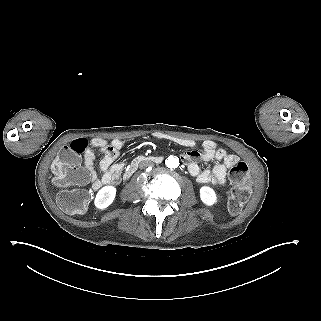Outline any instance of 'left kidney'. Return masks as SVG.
I'll list each match as a JSON object with an SVG mask.
<instances>
[{
  "label": "left kidney",
  "instance_id": "obj_1",
  "mask_svg": "<svg viewBox=\"0 0 321 321\" xmlns=\"http://www.w3.org/2000/svg\"><path fill=\"white\" fill-rule=\"evenodd\" d=\"M199 197L203 204L207 207H212L218 203V196L213 188L210 186H201L199 188Z\"/></svg>",
  "mask_w": 321,
  "mask_h": 321
}]
</instances>
